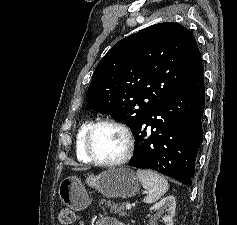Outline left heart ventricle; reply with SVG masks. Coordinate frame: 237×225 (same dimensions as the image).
<instances>
[{
	"label": "left heart ventricle",
	"mask_w": 237,
	"mask_h": 225,
	"mask_svg": "<svg viewBox=\"0 0 237 225\" xmlns=\"http://www.w3.org/2000/svg\"><path fill=\"white\" fill-rule=\"evenodd\" d=\"M126 149L123 133L111 125L99 126L92 138V150L101 160L111 161L120 158Z\"/></svg>",
	"instance_id": "left-heart-ventricle-1"
}]
</instances>
